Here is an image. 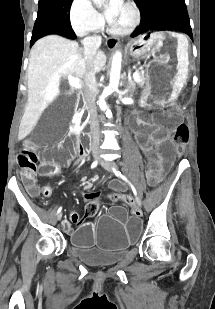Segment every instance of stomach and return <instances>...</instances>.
Returning a JSON list of instances; mask_svg holds the SVG:
<instances>
[{"instance_id": "1", "label": "stomach", "mask_w": 215, "mask_h": 309, "mask_svg": "<svg viewBox=\"0 0 215 309\" xmlns=\"http://www.w3.org/2000/svg\"><path fill=\"white\" fill-rule=\"evenodd\" d=\"M188 46L186 36L173 31L143 34L127 44L136 60L153 56L145 70V92L150 98L170 100L180 93L188 75Z\"/></svg>"}]
</instances>
